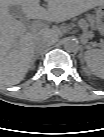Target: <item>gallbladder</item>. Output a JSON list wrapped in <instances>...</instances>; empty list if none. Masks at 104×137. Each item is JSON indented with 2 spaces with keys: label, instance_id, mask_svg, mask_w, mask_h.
Instances as JSON below:
<instances>
[{
  "label": "gallbladder",
  "instance_id": "gallbladder-1",
  "mask_svg": "<svg viewBox=\"0 0 104 137\" xmlns=\"http://www.w3.org/2000/svg\"><path fill=\"white\" fill-rule=\"evenodd\" d=\"M9 11L14 17L19 18L23 23L30 27V22L24 17L22 10L18 6H10Z\"/></svg>",
  "mask_w": 104,
  "mask_h": 137
}]
</instances>
